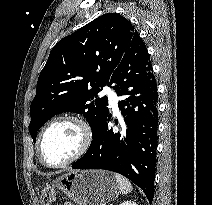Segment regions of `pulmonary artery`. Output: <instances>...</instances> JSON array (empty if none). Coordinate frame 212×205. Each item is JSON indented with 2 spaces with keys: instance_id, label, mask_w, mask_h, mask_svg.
<instances>
[{
  "instance_id": "e3ab8cb5",
  "label": "pulmonary artery",
  "mask_w": 212,
  "mask_h": 205,
  "mask_svg": "<svg viewBox=\"0 0 212 205\" xmlns=\"http://www.w3.org/2000/svg\"><path fill=\"white\" fill-rule=\"evenodd\" d=\"M103 92L108 96L111 106L116 109L118 103V97L115 91L110 87H106Z\"/></svg>"
}]
</instances>
